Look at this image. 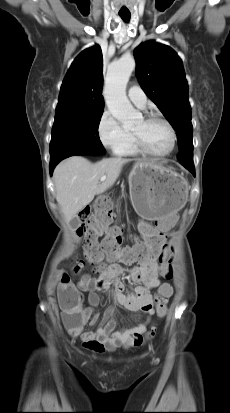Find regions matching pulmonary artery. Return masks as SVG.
Wrapping results in <instances>:
<instances>
[{"mask_svg": "<svg viewBox=\"0 0 230 413\" xmlns=\"http://www.w3.org/2000/svg\"><path fill=\"white\" fill-rule=\"evenodd\" d=\"M128 97L139 108H143L146 105V102H147L146 94L137 85L131 86L128 89Z\"/></svg>", "mask_w": 230, "mask_h": 413, "instance_id": "e3ab8cb5", "label": "pulmonary artery"}]
</instances>
